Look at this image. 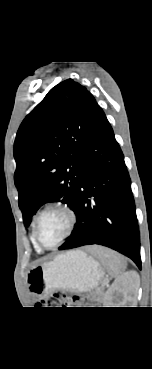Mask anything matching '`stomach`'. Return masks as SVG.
I'll use <instances>...</instances> for the list:
<instances>
[{"mask_svg":"<svg viewBox=\"0 0 152 369\" xmlns=\"http://www.w3.org/2000/svg\"><path fill=\"white\" fill-rule=\"evenodd\" d=\"M103 276L99 263L92 257L81 251H69L53 261L31 268L27 274V284L32 294L41 297L57 289L90 291Z\"/></svg>","mask_w":152,"mask_h":369,"instance_id":"obj_1","label":"stomach"}]
</instances>
